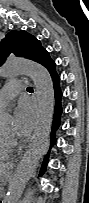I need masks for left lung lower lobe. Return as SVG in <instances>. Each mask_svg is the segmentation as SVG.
I'll return each instance as SVG.
<instances>
[{"label": "left lung lower lobe", "instance_id": "1", "mask_svg": "<svg viewBox=\"0 0 89 203\" xmlns=\"http://www.w3.org/2000/svg\"><path fill=\"white\" fill-rule=\"evenodd\" d=\"M38 63L42 64L50 72L52 79H53V85H54V91H55L56 104H55V108H54L53 128H52L51 140H50V147L52 148V146L56 143L55 132L60 126V116L62 113V108H61L62 94H61V90H60V78L56 73L55 62L50 58L49 53L45 49L42 52ZM48 158H49V153L46 155L44 162L42 164L41 171L39 174L40 177L46 171Z\"/></svg>", "mask_w": 89, "mask_h": 203}]
</instances>
